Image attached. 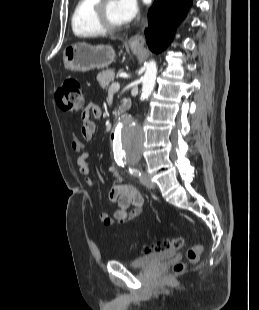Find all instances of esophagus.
I'll use <instances>...</instances> for the list:
<instances>
[{"instance_id": "obj_1", "label": "esophagus", "mask_w": 259, "mask_h": 310, "mask_svg": "<svg viewBox=\"0 0 259 310\" xmlns=\"http://www.w3.org/2000/svg\"><path fill=\"white\" fill-rule=\"evenodd\" d=\"M146 25V20L143 21V28ZM145 43V39L142 33H137L134 36H132L129 40H128V44L130 47L134 48V49H141L143 48Z\"/></svg>"}]
</instances>
